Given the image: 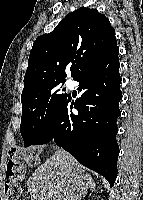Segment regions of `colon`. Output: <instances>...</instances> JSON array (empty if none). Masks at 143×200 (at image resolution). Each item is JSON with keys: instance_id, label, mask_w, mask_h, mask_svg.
<instances>
[{"instance_id": "1", "label": "colon", "mask_w": 143, "mask_h": 200, "mask_svg": "<svg viewBox=\"0 0 143 200\" xmlns=\"http://www.w3.org/2000/svg\"><path fill=\"white\" fill-rule=\"evenodd\" d=\"M39 160L38 150L15 149L9 153L6 166V182L4 185V200H19L20 181L25 174L26 166L35 165Z\"/></svg>"}]
</instances>
